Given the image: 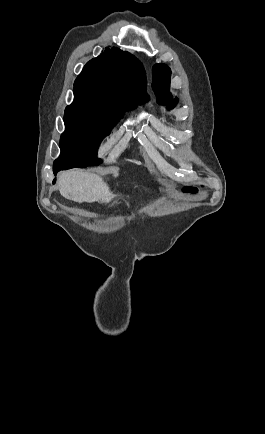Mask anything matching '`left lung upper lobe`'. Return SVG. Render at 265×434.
<instances>
[{
	"label": "left lung upper lobe",
	"instance_id": "1",
	"mask_svg": "<svg viewBox=\"0 0 265 434\" xmlns=\"http://www.w3.org/2000/svg\"><path fill=\"white\" fill-rule=\"evenodd\" d=\"M170 75L171 70L165 64H156L152 68L153 83L152 87L157 97V102L161 105L166 104L173 108L178 99L170 95Z\"/></svg>",
	"mask_w": 265,
	"mask_h": 434
}]
</instances>
